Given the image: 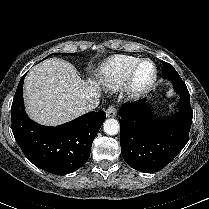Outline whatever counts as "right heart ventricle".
<instances>
[{"instance_id":"e07e8e85","label":"right heart ventricle","mask_w":209,"mask_h":209,"mask_svg":"<svg viewBox=\"0 0 209 209\" xmlns=\"http://www.w3.org/2000/svg\"><path fill=\"white\" fill-rule=\"evenodd\" d=\"M139 60L132 56H116L108 60L103 68V77L107 85L115 89L126 84Z\"/></svg>"}]
</instances>
